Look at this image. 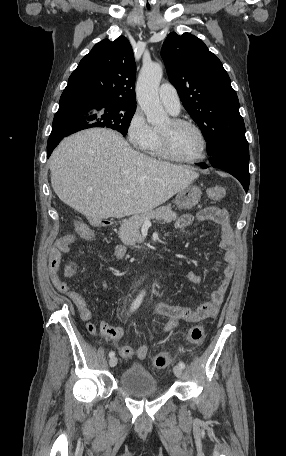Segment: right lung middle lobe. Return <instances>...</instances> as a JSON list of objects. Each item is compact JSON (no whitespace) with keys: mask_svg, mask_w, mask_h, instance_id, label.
I'll return each instance as SVG.
<instances>
[{"mask_svg":"<svg viewBox=\"0 0 286 456\" xmlns=\"http://www.w3.org/2000/svg\"><path fill=\"white\" fill-rule=\"evenodd\" d=\"M135 105L114 103L102 98L82 96L75 106V118L68 135L90 127H107L127 134L135 113Z\"/></svg>","mask_w":286,"mask_h":456,"instance_id":"dd1d6c3e","label":"right lung middle lobe"}]
</instances>
